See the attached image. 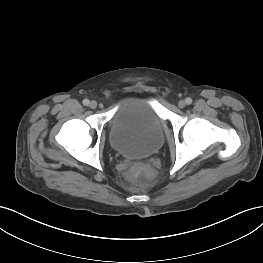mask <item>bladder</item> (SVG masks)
<instances>
[{
	"label": "bladder",
	"instance_id": "bladder-1",
	"mask_svg": "<svg viewBox=\"0 0 263 263\" xmlns=\"http://www.w3.org/2000/svg\"><path fill=\"white\" fill-rule=\"evenodd\" d=\"M108 138L111 147L124 157L151 156L164 142L162 119L149 99L124 98L110 119Z\"/></svg>",
	"mask_w": 263,
	"mask_h": 263
}]
</instances>
